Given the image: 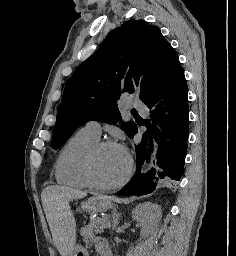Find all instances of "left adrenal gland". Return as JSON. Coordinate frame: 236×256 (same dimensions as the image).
<instances>
[{
  "label": "left adrenal gland",
  "mask_w": 236,
  "mask_h": 256,
  "mask_svg": "<svg viewBox=\"0 0 236 256\" xmlns=\"http://www.w3.org/2000/svg\"><path fill=\"white\" fill-rule=\"evenodd\" d=\"M111 218H112V228H113V230H115V228H117V226L119 224L118 220H119V218H121V216H120V214H118L116 208H114V210H112Z\"/></svg>",
  "instance_id": "1"
}]
</instances>
